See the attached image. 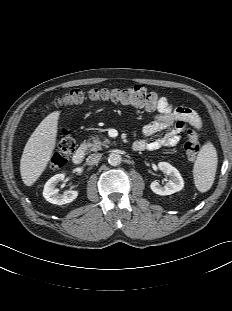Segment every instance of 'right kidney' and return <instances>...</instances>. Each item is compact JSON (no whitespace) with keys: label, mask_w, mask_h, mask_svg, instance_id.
<instances>
[{"label":"right kidney","mask_w":232,"mask_h":311,"mask_svg":"<svg viewBox=\"0 0 232 311\" xmlns=\"http://www.w3.org/2000/svg\"><path fill=\"white\" fill-rule=\"evenodd\" d=\"M65 178V174L60 173L51 177L45 184L43 189L44 198L52 203L57 205H63L72 202L78 196V191L69 190L65 191L63 194H59V189L56 188V185Z\"/></svg>","instance_id":"ca27d5eb"}]
</instances>
